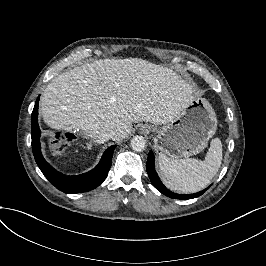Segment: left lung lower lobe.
Returning a JSON list of instances; mask_svg holds the SVG:
<instances>
[{"label": "left lung lower lobe", "mask_w": 266, "mask_h": 266, "mask_svg": "<svg viewBox=\"0 0 266 266\" xmlns=\"http://www.w3.org/2000/svg\"><path fill=\"white\" fill-rule=\"evenodd\" d=\"M146 170L147 173L149 175V178L151 180V183L153 184V186L160 191L162 194L173 198V199H181V200H187V199H192V198H197L199 196H201L206 190L194 193V194H188V195H182V194H176L171 192L170 190H168L163 183L161 182V180L159 179L155 168H154V154L151 151L148 154V159H147V164H146Z\"/></svg>", "instance_id": "left-lung-lower-lobe-1"}]
</instances>
